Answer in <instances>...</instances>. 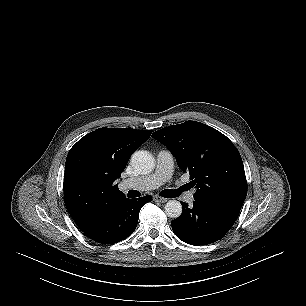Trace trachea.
I'll use <instances>...</instances> for the list:
<instances>
[{
	"mask_svg": "<svg viewBox=\"0 0 306 306\" xmlns=\"http://www.w3.org/2000/svg\"><path fill=\"white\" fill-rule=\"evenodd\" d=\"M185 190V187H181L178 190H163L160 195L165 197V198H175L178 197L180 195V192Z\"/></svg>",
	"mask_w": 306,
	"mask_h": 306,
	"instance_id": "3493384b",
	"label": "trachea"
}]
</instances>
